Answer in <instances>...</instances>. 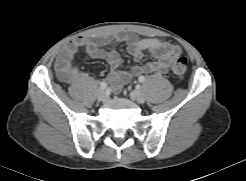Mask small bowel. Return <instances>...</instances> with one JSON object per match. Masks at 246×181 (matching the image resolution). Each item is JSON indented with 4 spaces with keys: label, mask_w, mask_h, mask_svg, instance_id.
I'll list each match as a JSON object with an SVG mask.
<instances>
[{
    "label": "small bowel",
    "mask_w": 246,
    "mask_h": 181,
    "mask_svg": "<svg viewBox=\"0 0 246 181\" xmlns=\"http://www.w3.org/2000/svg\"><path fill=\"white\" fill-rule=\"evenodd\" d=\"M121 42L127 44L128 51L136 62L142 60L145 52H150L154 60L137 64L128 72L121 71L122 57L117 50V45ZM81 48L89 57L103 59L110 65L111 71L107 80L116 91L133 77L142 74H167L171 60L182 53L179 46L156 38L140 39L129 32H120L111 36H81L65 44L56 59L55 69L62 80L73 81L79 77V71L72 62Z\"/></svg>",
    "instance_id": "1"
}]
</instances>
